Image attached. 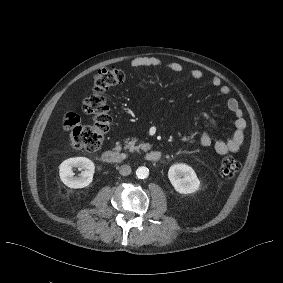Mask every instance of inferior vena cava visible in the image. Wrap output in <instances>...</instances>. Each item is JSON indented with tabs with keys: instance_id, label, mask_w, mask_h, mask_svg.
I'll return each instance as SVG.
<instances>
[{
	"instance_id": "obj_1",
	"label": "inferior vena cava",
	"mask_w": 283,
	"mask_h": 283,
	"mask_svg": "<svg viewBox=\"0 0 283 283\" xmlns=\"http://www.w3.org/2000/svg\"><path fill=\"white\" fill-rule=\"evenodd\" d=\"M119 173L123 176H127L131 173V167L129 165H122L119 169Z\"/></svg>"
}]
</instances>
